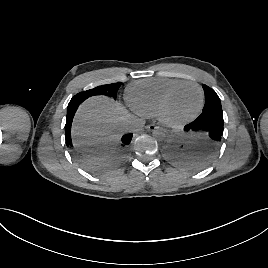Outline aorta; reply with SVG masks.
<instances>
[{"label":"aorta","mask_w":268,"mask_h":268,"mask_svg":"<svg viewBox=\"0 0 268 268\" xmlns=\"http://www.w3.org/2000/svg\"><path fill=\"white\" fill-rule=\"evenodd\" d=\"M153 137L156 138L157 140H162L167 136V133L165 130L158 128L153 131Z\"/></svg>","instance_id":"aorta-1"}]
</instances>
